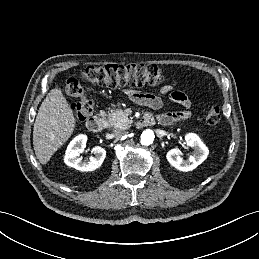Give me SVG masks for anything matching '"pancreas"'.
<instances>
[{
	"label": "pancreas",
	"instance_id": "cf45deb5",
	"mask_svg": "<svg viewBox=\"0 0 259 259\" xmlns=\"http://www.w3.org/2000/svg\"><path fill=\"white\" fill-rule=\"evenodd\" d=\"M106 122L115 129H128L132 124V120L121 109H114L106 114Z\"/></svg>",
	"mask_w": 259,
	"mask_h": 259
}]
</instances>
